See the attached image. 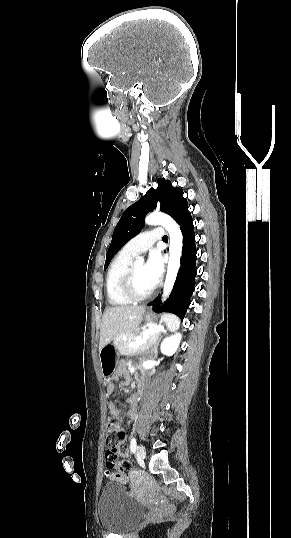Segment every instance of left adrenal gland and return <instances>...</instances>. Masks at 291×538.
Listing matches in <instances>:
<instances>
[{
  "label": "left adrenal gland",
  "mask_w": 291,
  "mask_h": 538,
  "mask_svg": "<svg viewBox=\"0 0 291 538\" xmlns=\"http://www.w3.org/2000/svg\"><path fill=\"white\" fill-rule=\"evenodd\" d=\"M160 333H166V330H165L164 327L161 328ZM160 339H161V337H159L158 340H157V342H155V343L151 346V352L154 354V357H156L157 354H158L157 347H158V345H159ZM149 351H150V350H148V352H149Z\"/></svg>",
  "instance_id": "obj_1"
}]
</instances>
